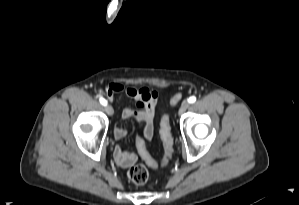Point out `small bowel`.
<instances>
[{"label": "small bowel", "instance_id": "c3829d8e", "mask_svg": "<svg viewBox=\"0 0 299 205\" xmlns=\"http://www.w3.org/2000/svg\"><path fill=\"white\" fill-rule=\"evenodd\" d=\"M124 91L128 97L135 101V109L126 107L122 116L124 119L142 120L145 124L144 137L150 139L152 136V121L155 115L158 92L149 88H124L119 83H112L107 89V95L111 99L114 93ZM116 139H122L127 135V130L124 127H117L114 131ZM114 158L117 164L123 168L133 166L137 157L133 152L123 149L122 146H116L114 150Z\"/></svg>", "mask_w": 299, "mask_h": 205}]
</instances>
